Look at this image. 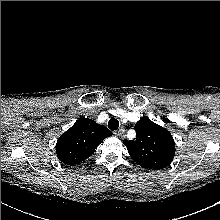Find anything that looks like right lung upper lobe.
I'll return each mask as SVG.
<instances>
[{
    "label": "right lung upper lobe",
    "instance_id": "right-lung-upper-lobe-1",
    "mask_svg": "<svg viewBox=\"0 0 220 220\" xmlns=\"http://www.w3.org/2000/svg\"><path fill=\"white\" fill-rule=\"evenodd\" d=\"M112 133L103 125L88 118H81L57 140L58 159L75 165L91 156L97 146Z\"/></svg>",
    "mask_w": 220,
    "mask_h": 220
}]
</instances>
